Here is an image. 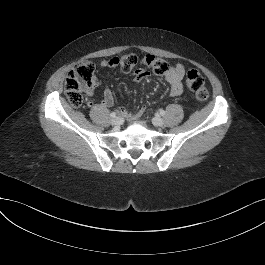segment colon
<instances>
[{
	"instance_id": "colon-1",
	"label": "colon",
	"mask_w": 265,
	"mask_h": 265,
	"mask_svg": "<svg viewBox=\"0 0 265 265\" xmlns=\"http://www.w3.org/2000/svg\"><path fill=\"white\" fill-rule=\"evenodd\" d=\"M113 61L124 72H131L137 64L136 55L129 53L113 57ZM146 68L157 75H165L169 71L168 63L159 57L147 55L143 59ZM98 82L95 65L91 61L77 63L68 73L65 80V95L73 107H80L83 103V92L93 89ZM188 88L194 93L198 101L204 102L209 97L208 89L199 71L191 69L186 74Z\"/></svg>"
}]
</instances>
